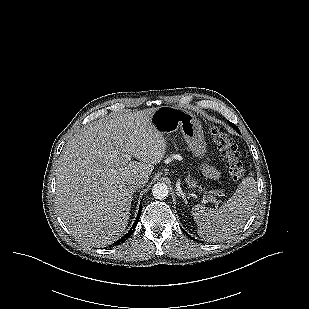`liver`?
<instances>
[{
    "mask_svg": "<svg viewBox=\"0 0 309 309\" xmlns=\"http://www.w3.org/2000/svg\"><path fill=\"white\" fill-rule=\"evenodd\" d=\"M153 111L95 122L66 143L56 168L55 204L81 242L102 247L123 234L135 193L130 181L148 179L166 154L163 135L150 124Z\"/></svg>",
    "mask_w": 309,
    "mask_h": 309,
    "instance_id": "6515ba94",
    "label": "liver"
}]
</instances>
